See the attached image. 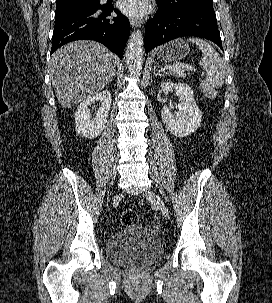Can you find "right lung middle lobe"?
Listing matches in <instances>:
<instances>
[{"mask_svg": "<svg viewBox=\"0 0 272 303\" xmlns=\"http://www.w3.org/2000/svg\"><path fill=\"white\" fill-rule=\"evenodd\" d=\"M101 7L99 0H71L56 3L55 17L87 9H100Z\"/></svg>", "mask_w": 272, "mask_h": 303, "instance_id": "right-lung-middle-lobe-1", "label": "right lung middle lobe"}]
</instances>
